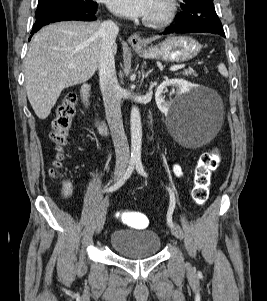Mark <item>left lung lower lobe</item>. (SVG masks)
Returning <instances> with one entry per match:
<instances>
[{"instance_id":"0a47b994","label":"left lung lower lobe","mask_w":267,"mask_h":301,"mask_svg":"<svg viewBox=\"0 0 267 301\" xmlns=\"http://www.w3.org/2000/svg\"><path fill=\"white\" fill-rule=\"evenodd\" d=\"M199 33V32H208L213 34H219L222 37H225V33H218L209 29L208 27L202 25H191V24H180V25H172L167 27L163 34H171V33Z\"/></svg>"}]
</instances>
